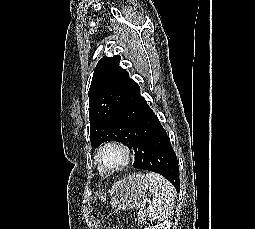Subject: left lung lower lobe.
<instances>
[{"label": "left lung lower lobe", "mask_w": 255, "mask_h": 229, "mask_svg": "<svg viewBox=\"0 0 255 229\" xmlns=\"http://www.w3.org/2000/svg\"><path fill=\"white\" fill-rule=\"evenodd\" d=\"M116 116L122 119L121 129L128 135L130 146L135 150L133 167L161 174L180 191L176 154L165 129L140 95V87L135 81Z\"/></svg>", "instance_id": "obj_1"}]
</instances>
